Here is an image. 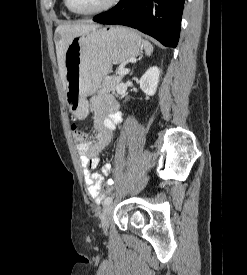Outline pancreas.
<instances>
[{
    "mask_svg": "<svg viewBox=\"0 0 247 275\" xmlns=\"http://www.w3.org/2000/svg\"><path fill=\"white\" fill-rule=\"evenodd\" d=\"M123 76L122 75H116L112 77H107L102 82V85L99 88V93H109L114 92L117 85L121 82Z\"/></svg>",
    "mask_w": 247,
    "mask_h": 275,
    "instance_id": "1",
    "label": "pancreas"
}]
</instances>
